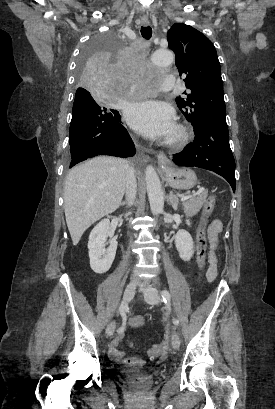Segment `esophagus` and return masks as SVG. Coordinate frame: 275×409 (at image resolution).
<instances>
[{"mask_svg": "<svg viewBox=\"0 0 275 409\" xmlns=\"http://www.w3.org/2000/svg\"><path fill=\"white\" fill-rule=\"evenodd\" d=\"M141 25H143V26L149 25L148 17H141ZM160 159H166L167 160V156L163 151H159V153H158V160H160ZM143 160L146 161L147 156L144 155Z\"/></svg>", "mask_w": 275, "mask_h": 409, "instance_id": "1", "label": "esophagus"}]
</instances>
